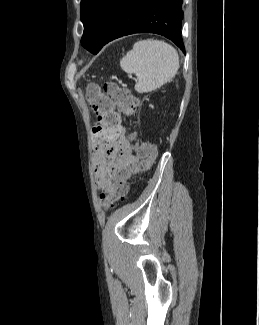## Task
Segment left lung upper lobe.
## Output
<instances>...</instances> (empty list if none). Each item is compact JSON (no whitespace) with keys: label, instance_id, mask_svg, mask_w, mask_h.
Masks as SVG:
<instances>
[{"label":"left lung upper lobe","instance_id":"1","mask_svg":"<svg viewBox=\"0 0 259 325\" xmlns=\"http://www.w3.org/2000/svg\"><path fill=\"white\" fill-rule=\"evenodd\" d=\"M122 0H81V21L84 33L81 45L97 54L105 38L110 22Z\"/></svg>","mask_w":259,"mask_h":325}]
</instances>
